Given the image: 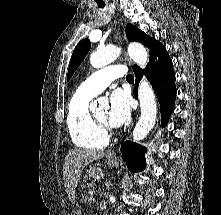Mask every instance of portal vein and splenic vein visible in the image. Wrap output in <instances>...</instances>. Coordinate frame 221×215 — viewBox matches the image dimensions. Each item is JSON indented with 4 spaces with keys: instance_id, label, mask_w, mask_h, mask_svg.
<instances>
[{
    "instance_id": "1",
    "label": "portal vein and splenic vein",
    "mask_w": 221,
    "mask_h": 215,
    "mask_svg": "<svg viewBox=\"0 0 221 215\" xmlns=\"http://www.w3.org/2000/svg\"><path fill=\"white\" fill-rule=\"evenodd\" d=\"M91 195H92V193H91ZM92 200H94V197H93V196H91V197L89 198V201H92Z\"/></svg>"
}]
</instances>
